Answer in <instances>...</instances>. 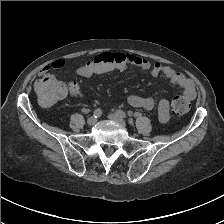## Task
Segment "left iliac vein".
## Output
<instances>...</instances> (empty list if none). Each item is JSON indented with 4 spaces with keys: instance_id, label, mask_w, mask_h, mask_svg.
<instances>
[{
    "instance_id": "1",
    "label": "left iliac vein",
    "mask_w": 224,
    "mask_h": 224,
    "mask_svg": "<svg viewBox=\"0 0 224 224\" xmlns=\"http://www.w3.org/2000/svg\"><path fill=\"white\" fill-rule=\"evenodd\" d=\"M108 118H109L110 120H112V121L117 122V123L120 124L121 126H126V122H125V120H124L122 117L118 116L116 113L109 114V115H108Z\"/></svg>"
}]
</instances>
